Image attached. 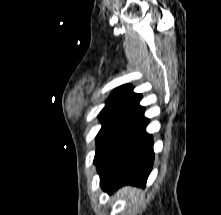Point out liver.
Here are the masks:
<instances>
[{"instance_id": "6515ba94", "label": "liver", "mask_w": 221, "mask_h": 215, "mask_svg": "<svg viewBox=\"0 0 221 215\" xmlns=\"http://www.w3.org/2000/svg\"><path fill=\"white\" fill-rule=\"evenodd\" d=\"M139 194V190L135 187H123L118 191V196L128 197L130 201L136 200L137 195Z\"/></svg>"}]
</instances>
